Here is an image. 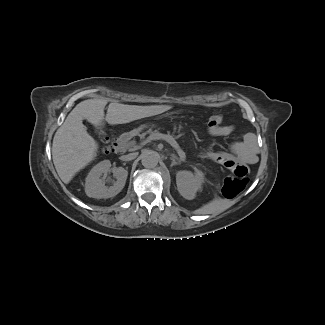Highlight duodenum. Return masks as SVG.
<instances>
[{
	"label": "duodenum",
	"mask_w": 325,
	"mask_h": 325,
	"mask_svg": "<svg viewBox=\"0 0 325 325\" xmlns=\"http://www.w3.org/2000/svg\"><path fill=\"white\" fill-rule=\"evenodd\" d=\"M129 137L127 134L121 135L114 144V151L117 154H123L128 147Z\"/></svg>",
	"instance_id": "410a0bca"
}]
</instances>
